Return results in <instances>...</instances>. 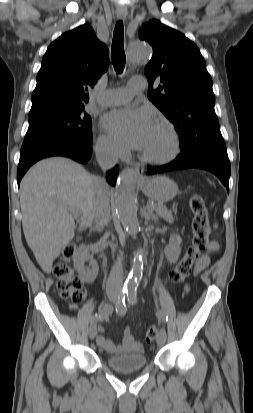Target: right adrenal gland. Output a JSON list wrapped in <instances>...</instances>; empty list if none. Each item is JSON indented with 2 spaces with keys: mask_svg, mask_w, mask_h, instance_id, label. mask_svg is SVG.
I'll list each match as a JSON object with an SVG mask.
<instances>
[{
  "mask_svg": "<svg viewBox=\"0 0 253 413\" xmlns=\"http://www.w3.org/2000/svg\"><path fill=\"white\" fill-rule=\"evenodd\" d=\"M94 230L101 232V228L100 227H95Z\"/></svg>",
  "mask_w": 253,
  "mask_h": 413,
  "instance_id": "right-adrenal-gland-1",
  "label": "right adrenal gland"
}]
</instances>
